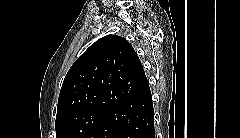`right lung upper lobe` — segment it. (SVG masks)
Listing matches in <instances>:
<instances>
[{
    "label": "right lung upper lobe",
    "instance_id": "right-lung-upper-lobe-1",
    "mask_svg": "<svg viewBox=\"0 0 240 138\" xmlns=\"http://www.w3.org/2000/svg\"><path fill=\"white\" fill-rule=\"evenodd\" d=\"M147 87L143 66L132 45L117 35L102 37L69 69L56 119L87 109L109 111Z\"/></svg>",
    "mask_w": 240,
    "mask_h": 138
}]
</instances>
